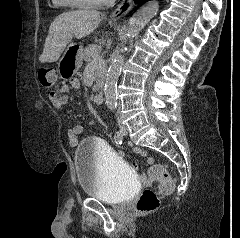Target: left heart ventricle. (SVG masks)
Returning a JSON list of instances; mask_svg holds the SVG:
<instances>
[{
  "label": "left heart ventricle",
  "instance_id": "left-heart-ventricle-1",
  "mask_svg": "<svg viewBox=\"0 0 240 238\" xmlns=\"http://www.w3.org/2000/svg\"><path fill=\"white\" fill-rule=\"evenodd\" d=\"M90 1H103V0H90Z\"/></svg>",
  "mask_w": 240,
  "mask_h": 238
}]
</instances>
